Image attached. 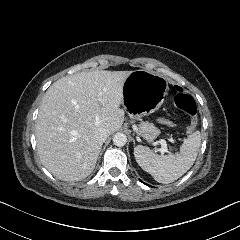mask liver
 <instances>
[{
  "mask_svg": "<svg viewBox=\"0 0 240 240\" xmlns=\"http://www.w3.org/2000/svg\"><path fill=\"white\" fill-rule=\"evenodd\" d=\"M132 71L97 70L62 77L42 98L36 120L40 160L56 178L80 181L95 168L101 141L97 130L113 134L124 122L123 87Z\"/></svg>",
  "mask_w": 240,
  "mask_h": 240,
  "instance_id": "6515ba94",
  "label": "liver"
}]
</instances>
